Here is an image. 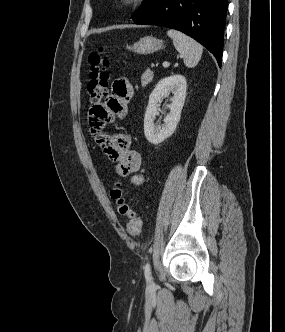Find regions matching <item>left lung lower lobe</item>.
Segmentation results:
<instances>
[{"label":"left lung lower lobe","instance_id":"left-lung-lower-lobe-1","mask_svg":"<svg viewBox=\"0 0 285 332\" xmlns=\"http://www.w3.org/2000/svg\"><path fill=\"white\" fill-rule=\"evenodd\" d=\"M227 8L228 0H160L134 22L187 34L206 47L221 66Z\"/></svg>","mask_w":285,"mask_h":332}]
</instances>
